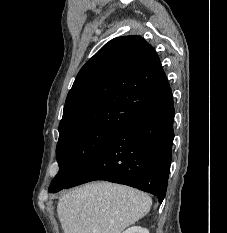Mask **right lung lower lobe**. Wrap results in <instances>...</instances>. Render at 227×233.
<instances>
[{
	"instance_id": "obj_1",
	"label": "right lung lower lobe",
	"mask_w": 227,
	"mask_h": 233,
	"mask_svg": "<svg viewBox=\"0 0 227 233\" xmlns=\"http://www.w3.org/2000/svg\"><path fill=\"white\" fill-rule=\"evenodd\" d=\"M171 97L119 129L65 188L106 180L165 197L174 138Z\"/></svg>"
}]
</instances>
